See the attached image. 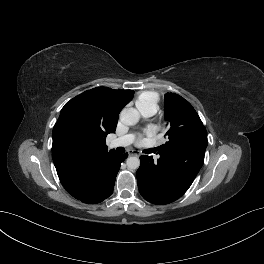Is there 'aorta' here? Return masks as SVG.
Returning <instances> with one entry per match:
<instances>
[{
    "instance_id": "obj_1",
    "label": "aorta",
    "mask_w": 264,
    "mask_h": 264,
    "mask_svg": "<svg viewBox=\"0 0 264 264\" xmlns=\"http://www.w3.org/2000/svg\"><path fill=\"white\" fill-rule=\"evenodd\" d=\"M120 120L125 125H135L139 121V113L134 108H125L120 113ZM126 164L129 169L135 170L139 168L140 160L138 157L131 156L127 158Z\"/></svg>"
}]
</instances>
